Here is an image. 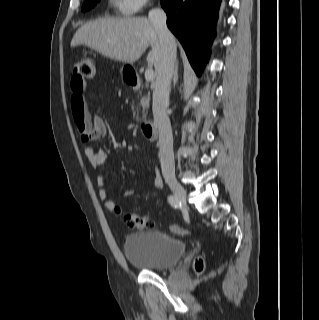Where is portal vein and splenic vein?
I'll return each mask as SVG.
<instances>
[{"instance_id": "1", "label": "portal vein and splenic vein", "mask_w": 319, "mask_h": 320, "mask_svg": "<svg viewBox=\"0 0 319 320\" xmlns=\"http://www.w3.org/2000/svg\"><path fill=\"white\" fill-rule=\"evenodd\" d=\"M155 78V74H154V71L153 69L150 67L148 68L146 71H145V79L146 81H153Z\"/></svg>"}]
</instances>
